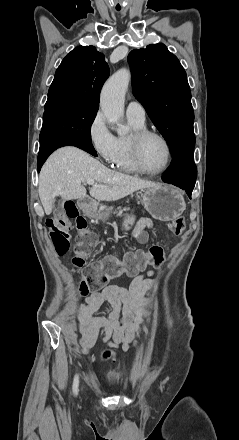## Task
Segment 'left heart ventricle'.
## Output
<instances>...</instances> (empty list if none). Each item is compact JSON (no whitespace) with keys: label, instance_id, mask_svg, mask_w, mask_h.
I'll list each match as a JSON object with an SVG mask.
<instances>
[{"label":"left heart ventricle","instance_id":"left-heart-ventricle-1","mask_svg":"<svg viewBox=\"0 0 239 440\" xmlns=\"http://www.w3.org/2000/svg\"><path fill=\"white\" fill-rule=\"evenodd\" d=\"M141 159L149 171L162 169L167 162V150L164 143L157 137H147L141 146Z\"/></svg>","mask_w":239,"mask_h":440}]
</instances>
